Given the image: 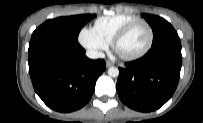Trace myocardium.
Wrapping results in <instances>:
<instances>
[{
	"mask_svg": "<svg viewBox=\"0 0 203 123\" xmlns=\"http://www.w3.org/2000/svg\"><path fill=\"white\" fill-rule=\"evenodd\" d=\"M139 24H143L147 27L148 32H149V39L148 42L146 44V46L144 47V49H142L140 52L135 53V54H131V55H126V54H122L120 53V51L118 50V46L119 43L122 41V39H124L126 37V35L137 25ZM153 40H154V31L152 26L145 20L139 19V20H135L129 24H127L125 27H123L113 38L112 40V48L113 51L115 52V54L121 58L122 60L125 61H133V60H137L143 56H145L151 49L152 45H153Z\"/></svg>",
	"mask_w": 203,
	"mask_h": 123,
	"instance_id": "myocardium-1",
	"label": "myocardium"
}]
</instances>
